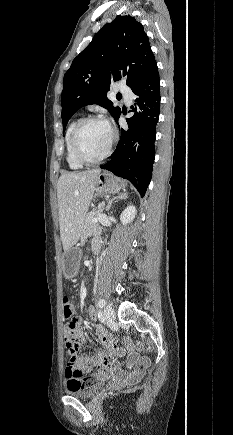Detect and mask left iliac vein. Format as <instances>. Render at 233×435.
<instances>
[{
  "mask_svg": "<svg viewBox=\"0 0 233 435\" xmlns=\"http://www.w3.org/2000/svg\"><path fill=\"white\" fill-rule=\"evenodd\" d=\"M105 323L110 324L115 321V311L111 306H106L103 311Z\"/></svg>",
  "mask_w": 233,
  "mask_h": 435,
  "instance_id": "obj_1",
  "label": "left iliac vein"
}]
</instances>
